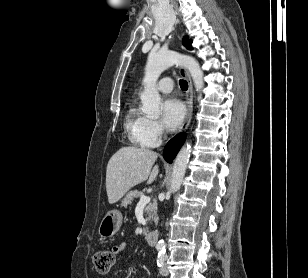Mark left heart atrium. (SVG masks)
<instances>
[{
	"mask_svg": "<svg viewBox=\"0 0 308 278\" xmlns=\"http://www.w3.org/2000/svg\"><path fill=\"white\" fill-rule=\"evenodd\" d=\"M185 117L184 105L177 99H168L162 105V123L168 130L177 129Z\"/></svg>",
	"mask_w": 308,
	"mask_h": 278,
	"instance_id": "obj_1",
	"label": "left heart atrium"
}]
</instances>
